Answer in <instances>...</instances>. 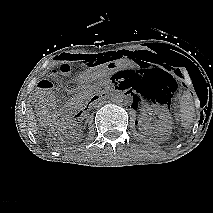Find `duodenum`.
I'll return each instance as SVG.
<instances>
[{
    "label": "duodenum",
    "instance_id": "duodenum-1",
    "mask_svg": "<svg viewBox=\"0 0 213 213\" xmlns=\"http://www.w3.org/2000/svg\"><path fill=\"white\" fill-rule=\"evenodd\" d=\"M107 97L106 92H101L98 94H95L91 100H90V104L94 103V102H99L101 100H104ZM71 113H73L76 117L80 116L82 113H84V109L80 108V107H74L71 110Z\"/></svg>",
    "mask_w": 213,
    "mask_h": 213
}]
</instances>
